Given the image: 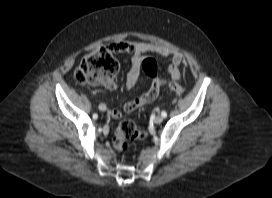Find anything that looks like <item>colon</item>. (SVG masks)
<instances>
[{
	"mask_svg": "<svg viewBox=\"0 0 272 198\" xmlns=\"http://www.w3.org/2000/svg\"><path fill=\"white\" fill-rule=\"evenodd\" d=\"M112 52L113 49L109 46L86 55L75 69L76 81L84 85H98L111 80L119 69L118 61ZM142 68L147 75L157 73L156 62L152 59L144 60ZM169 89L177 95L184 93V88L176 82H170ZM146 137L145 129L138 127L131 120H124L119 124L112 144L116 151L123 153L127 149L128 140H142Z\"/></svg>",
	"mask_w": 272,
	"mask_h": 198,
	"instance_id": "colon-1",
	"label": "colon"
}]
</instances>
